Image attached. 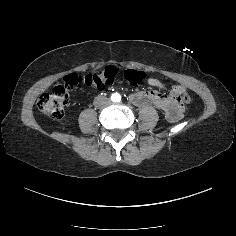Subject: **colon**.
Segmentation results:
<instances>
[{
  "instance_id": "colon-1",
  "label": "colon",
  "mask_w": 236,
  "mask_h": 236,
  "mask_svg": "<svg viewBox=\"0 0 236 236\" xmlns=\"http://www.w3.org/2000/svg\"><path fill=\"white\" fill-rule=\"evenodd\" d=\"M117 74L118 70L115 66H108L103 70L84 76L75 73L68 74L63 78L61 85L56 86L50 93H44L39 97L38 109L53 119H61L68 104L69 91L82 83L92 89L103 90L114 82ZM125 78L130 84L138 86L145 79V74L139 70L128 69L125 72ZM176 96L182 104L191 102V95L184 88H177Z\"/></svg>"
}]
</instances>
